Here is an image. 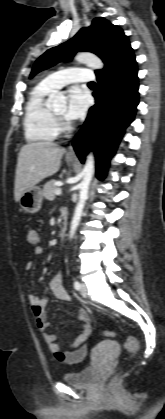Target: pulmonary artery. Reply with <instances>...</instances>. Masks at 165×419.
Instances as JSON below:
<instances>
[{
  "mask_svg": "<svg viewBox=\"0 0 165 419\" xmlns=\"http://www.w3.org/2000/svg\"><path fill=\"white\" fill-rule=\"evenodd\" d=\"M94 80L93 70L86 67H71L57 71L46 76L42 83L55 90L73 82H92Z\"/></svg>",
  "mask_w": 165,
  "mask_h": 419,
  "instance_id": "1",
  "label": "pulmonary artery"
}]
</instances>
